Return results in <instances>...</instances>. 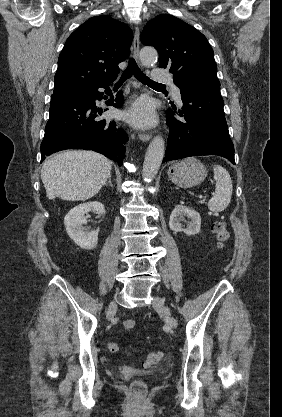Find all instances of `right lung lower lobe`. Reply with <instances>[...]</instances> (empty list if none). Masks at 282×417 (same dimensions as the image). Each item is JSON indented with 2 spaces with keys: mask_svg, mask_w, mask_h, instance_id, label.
Masks as SVG:
<instances>
[{
  "mask_svg": "<svg viewBox=\"0 0 282 417\" xmlns=\"http://www.w3.org/2000/svg\"><path fill=\"white\" fill-rule=\"evenodd\" d=\"M112 82L84 87L51 98L50 117L41 143V161L57 151L86 149L104 154L119 166L122 165L127 133L114 121L96 119L101 112L96 109L95 100L102 99L103 95L98 88L109 89ZM107 104L121 107L122 92H118L116 98Z\"/></svg>",
  "mask_w": 282,
  "mask_h": 417,
  "instance_id": "1",
  "label": "right lung lower lobe"
}]
</instances>
